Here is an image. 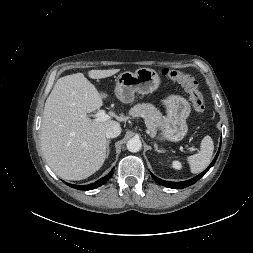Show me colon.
Here are the masks:
<instances>
[{
	"instance_id": "1",
	"label": "colon",
	"mask_w": 253,
	"mask_h": 253,
	"mask_svg": "<svg viewBox=\"0 0 253 253\" xmlns=\"http://www.w3.org/2000/svg\"><path fill=\"white\" fill-rule=\"evenodd\" d=\"M161 74L184 87L189 94L191 106L195 112L202 113L204 111L205 106L203 95L199 89L198 82L193 75L173 68H163Z\"/></svg>"
}]
</instances>
